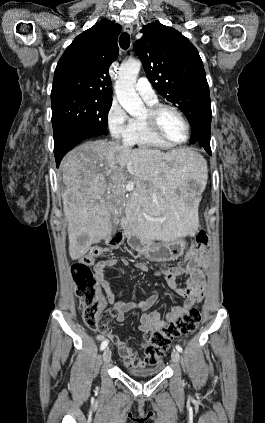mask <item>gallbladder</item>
<instances>
[{
  "instance_id": "gallbladder-1",
  "label": "gallbladder",
  "mask_w": 265,
  "mask_h": 423,
  "mask_svg": "<svg viewBox=\"0 0 265 423\" xmlns=\"http://www.w3.org/2000/svg\"><path fill=\"white\" fill-rule=\"evenodd\" d=\"M119 221L117 220V218H113V225L114 227H116L118 225ZM83 237H80L78 240L80 241Z\"/></svg>"
}]
</instances>
